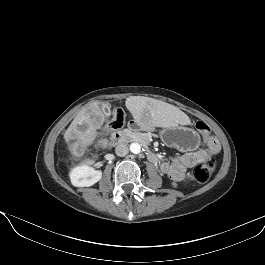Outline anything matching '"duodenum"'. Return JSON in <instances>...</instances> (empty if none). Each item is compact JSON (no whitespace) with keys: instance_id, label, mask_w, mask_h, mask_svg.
I'll use <instances>...</instances> for the list:
<instances>
[{"instance_id":"410a0bca","label":"duodenum","mask_w":265,"mask_h":265,"mask_svg":"<svg viewBox=\"0 0 265 265\" xmlns=\"http://www.w3.org/2000/svg\"><path fill=\"white\" fill-rule=\"evenodd\" d=\"M128 135H130V132H128V131L115 132L111 135L110 142L112 145H117L120 142H122ZM136 139L141 141L142 137L137 135ZM148 156L152 162H154V163L159 162V157L152 150H148Z\"/></svg>"}]
</instances>
